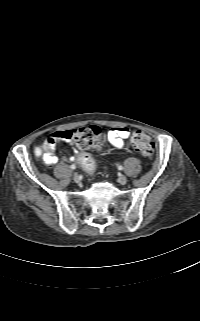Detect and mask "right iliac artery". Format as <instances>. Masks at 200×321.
Listing matches in <instances>:
<instances>
[{"mask_svg": "<svg viewBox=\"0 0 200 321\" xmlns=\"http://www.w3.org/2000/svg\"><path fill=\"white\" fill-rule=\"evenodd\" d=\"M70 168H71L72 170H74V169H76V166H75L74 164H72V165L70 166Z\"/></svg>", "mask_w": 200, "mask_h": 321, "instance_id": "82829eb1", "label": "right iliac artery"}]
</instances>
